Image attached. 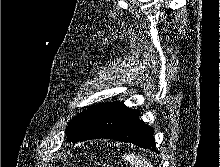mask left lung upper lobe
Wrapping results in <instances>:
<instances>
[{
  "label": "left lung upper lobe",
  "instance_id": "obj_1",
  "mask_svg": "<svg viewBox=\"0 0 220 167\" xmlns=\"http://www.w3.org/2000/svg\"><path fill=\"white\" fill-rule=\"evenodd\" d=\"M108 105L109 103L99 104L75 116L66 129L68 141L73 142L80 139Z\"/></svg>",
  "mask_w": 220,
  "mask_h": 167
}]
</instances>
